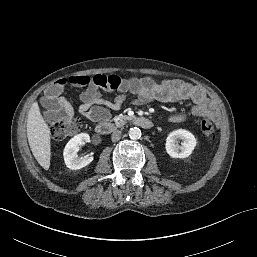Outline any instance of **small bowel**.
I'll return each mask as SVG.
<instances>
[{"mask_svg": "<svg viewBox=\"0 0 257 257\" xmlns=\"http://www.w3.org/2000/svg\"><path fill=\"white\" fill-rule=\"evenodd\" d=\"M87 77V76H86ZM89 82L87 88L79 96V112L93 123L107 121L110 117V109L119 110L128 100V94L134 96L133 102L144 104L153 100L171 103L180 101H191L193 106L191 114L194 116L207 115L212 110V103L208 100L205 92L197 86L178 79L155 81L151 78L129 79L117 75L98 74L87 77ZM50 86L42 105L45 116L49 120H55L63 107H69L66 100L58 94L51 92ZM104 91L108 94L115 93L113 99L103 96ZM185 113H177L168 118L169 123H180L186 119Z\"/></svg>", "mask_w": 257, "mask_h": 257, "instance_id": "c3829d8e", "label": "small bowel"}]
</instances>
